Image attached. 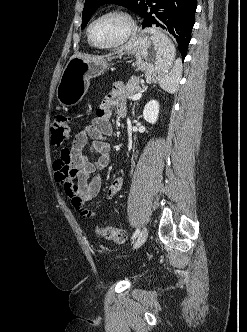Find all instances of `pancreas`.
<instances>
[{"instance_id":"pancreas-1","label":"pancreas","mask_w":247,"mask_h":332,"mask_svg":"<svg viewBox=\"0 0 247 332\" xmlns=\"http://www.w3.org/2000/svg\"><path fill=\"white\" fill-rule=\"evenodd\" d=\"M143 90L144 86L140 85L139 79L137 77H132L125 88V96L132 99L135 94L141 93Z\"/></svg>"}]
</instances>
